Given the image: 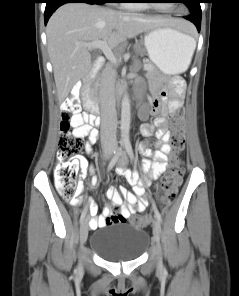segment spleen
I'll return each mask as SVG.
<instances>
[{
  "instance_id": "spleen-1",
  "label": "spleen",
  "mask_w": 239,
  "mask_h": 296,
  "mask_svg": "<svg viewBox=\"0 0 239 296\" xmlns=\"http://www.w3.org/2000/svg\"><path fill=\"white\" fill-rule=\"evenodd\" d=\"M195 45H196V42H195V40L192 38V40H191V51H190V55H189V59H188V63H187V67H188V65L190 64L191 57H192V53H193V51H194V49H195ZM187 67H186V69H187Z\"/></svg>"
}]
</instances>
